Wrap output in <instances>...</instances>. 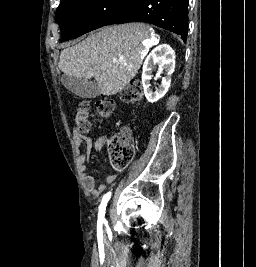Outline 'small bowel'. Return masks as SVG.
<instances>
[{
	"instance_id": "obj_1",
	"label": "small bowel",
	"mask_w": 256,
	"mask_h": 267,
	"mask_svg": "<svg viewBox=\"0 0 256 267\" xmlns=\"http://www.w3.org/2000/svg\"><path fill=\"white\" fill-rule=\"evenodd\" d=\"M107 139V136H101L93 141L91 138L83 136L80 132L74 130V141L76 146L78 148L85 147L84 151L77 157L78 171L82 184L89 194L96 197L103 193L116 178V174L112 173L105 179L104 182L96 186L93 177L88 174L87 163L90 162L92 150L100 151L105 145Z\"/></svg>"
}]
</instances>
